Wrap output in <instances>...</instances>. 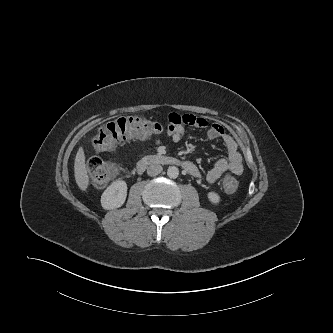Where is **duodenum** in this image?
Segmentation results:
<instances>
[{
    "label": "duodenum",
    "mask_w": 333,
    "mask_h": 333,
    "mask_svg": "<svg viewBox=\"0 0 333 333\" xmlns=\"http://www.w3.org/2000/svg\"><path fill=\"white\" fill-rule=\"evenodd\" d=\"M154 164H159V165H181L185 169L187 168V164L185 162H181L180 160L167 156V155H159V154H154V155H147L143 158H141L137 165H136V170L137 172L141 173L143 172L148 166L154 165Z\"/></svg>",
    "instance_id": "obj_1"
}]
</instances>
